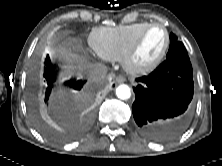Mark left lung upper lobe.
Instances as JSON below:
<instances>
[{
	"mask_svg": "<svg viewBox=\"0 0 222 166\" xmlns=\"http://www.w3.org/2000/svg\"><path fill=\"white\" fill-rule=\"evenodd\" d=\"M173 57H184L189 58L187 50L182 42H180L177 37L171 33L170 34V46L167 53V59Z\"/></svg>",
	"mask_w": 222,
	"mask_h": 166,
	"instance_id": "1",
	"label": "left lung upper lobe"
}]
</instances>
